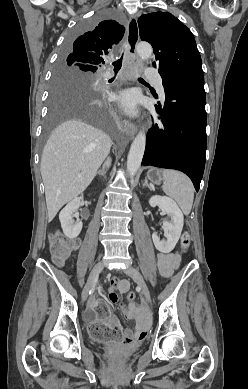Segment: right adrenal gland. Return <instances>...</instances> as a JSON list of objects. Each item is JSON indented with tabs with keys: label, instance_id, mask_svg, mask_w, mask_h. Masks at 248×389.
Returning a JSON list of instances; mask_svg holds the SVG:
<instances>
[{
	"label": "right adrenal gland",
	"instance_id": "right-adrenal-gland-1",
	"mask_svg": "<svg viewBox=\"0 0 248 389\" xmlns=\"http://www.w3.org/2000/svg\"><path fill=\"white\" fill-rule=\"evenodd\" d=\"M96 175H99V176H106V170L105 169H102V170H99Z\"/></svg>",
	"mask_w": 248,
	"mask_h": 389
}]
</instances>
